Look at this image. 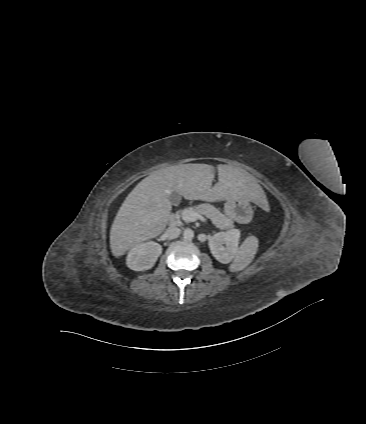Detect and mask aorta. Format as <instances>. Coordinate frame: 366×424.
<instances>
[{
    "instance_id": "aorta-1",
    "label": "aorta",
    "mask_w": 366,
    "mask_h": 424,
    "mask_svg": "<svg viewBox=\"0 0 366 424\" xmlns=\"http://www.w3.org/2000/svg\"><path fill=\"white\" fill-rule=\"evenodd\" d=\"M193 237H194V231L192 229L187 228V229L184 230V232H183V238L185 240H190Z\"/></svg>"
}]
</instances>
